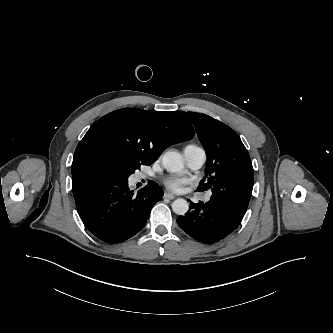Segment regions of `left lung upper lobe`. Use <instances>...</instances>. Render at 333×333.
<instances>
[{
  "instance_id": "1",
  "label": "left lung upper lobe",
  "mask_w": 333,
  "mask_h": 333,
  "mask_svg": "<svg viewBox=\"0 0 333 333\" xmlns=\"http://www.w3.org/2000/svg\"><path fill=\"white\" fill-rule=\"evenodd\" d=\"M184 114L194 124L208 156L206 175L198 186V191L214 190L223 172L232 171L237 165L251 161L238 134L230 127L202 113Z\"/></svg>"
}]
</instances>
